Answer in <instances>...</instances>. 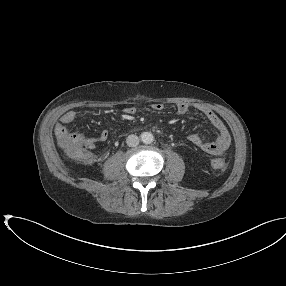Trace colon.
<instances>
[{
    "instance_id": "obj_1",
    "label": "colon",
    "mask_w": 286,
    "mask_h": 286,
    "mask_svg": "<svg viewBox=\"0 0 286 286\" xmlns=\"http://www.w3.org/2000/svg\"><path fill=\"white\" fill-rule=\"evenodd\" d=\"M61 148L66 152L68 156L73 159L89 162L93 159L92 155L82 146L80 138L77 135L70 134L59 140ZM211 166L214 169H224L226 163L222 159H213Z\"/></svg>"
}]
</instances>
